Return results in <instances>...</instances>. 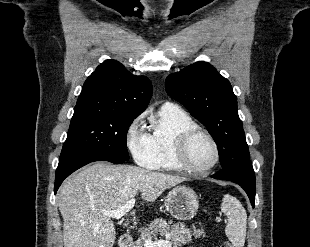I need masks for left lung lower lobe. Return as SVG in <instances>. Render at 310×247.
Returning <instances> with one entry per match:
<instances>
[{
	"label": "left lung lower lobe",
	"instance_id": "0a47b994",
	"mask_svg": "<svg viewBox=\"0 0 310 247\" xmlns=\"http://www.w3.org/2000/svg\"><path fill=\"white\" fill-rule=\"evenodd\" d=\"M215 179L228 180L240 185L247 193L252 207L255 206V174L251 161H247L239 166L221 169L211 176Z\"/></svg>",
	"mask_w": 310,
	"mask_h": 247
}]
</instances>
